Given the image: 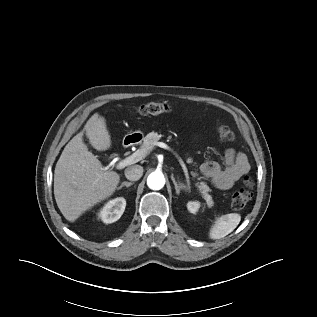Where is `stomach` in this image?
I'll list each match as a JSON object with an SVG mask.
<instances>
[{
    "label": "stomach",
    "instance_id": "0dacf381",
    "mask_svg": "<svg viewBox=\"0 0 317 317\" xmlns=\"http://www.w3.org/2000/svg\"><path fill=\"white\" fill-rule=\"evenodd\" d=\"M135 133H139V134H141V132H135Z\"/></svg>",
    "mask_w": 317,
    "mask_h": 317
}]
</instances>
